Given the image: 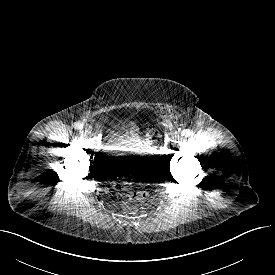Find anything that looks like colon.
I'll return each mask as SVG.
<instances>
[{"mask_svg":"<svg viewBox=\"0 0 275 275\" xmlns=\"http://www.w3.org/2000/svg\"><path fill=\"white\" fill-rule=\"evenodd\" d=\"M160 114L167 118H178L179 113L171 108H163L160 110ZM155 136V134H153ZM115 190L119 196L126 201H143L147 197V191L132 182H118L115 185ZM123 210L128 213H133L135 208L129 203L123 204Z\"/></svg>","mask_w":275,"mask_h":275,"instance_id":"1","label":"colon"}]
</instances>
